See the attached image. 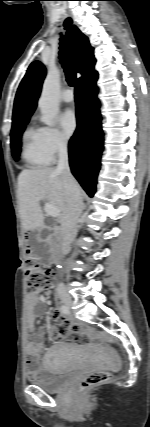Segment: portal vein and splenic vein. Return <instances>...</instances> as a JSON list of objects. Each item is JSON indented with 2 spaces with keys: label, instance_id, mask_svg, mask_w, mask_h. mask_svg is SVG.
<instances>
[{
  "label": "portal vein and splenic vein",
  "instance_id": "portal-vein-and-splenic-vein-1",
  "mask_svg": "<svg viewBox=\"0 0 150 427\" xmlns=\"http://www.w3.org/2000/svg\"><path fill=\"white\" fill-rule=\"evenodd\" d=\"M45 212L51 217H58L60 215V209L52 206L49 203L45 204Z\"/></svg>",
  "mask_w": 150,
  "mask_h": 427
}]
</instances>
